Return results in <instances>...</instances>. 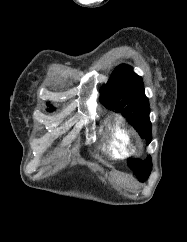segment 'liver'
Instances as JSON below:
<instances>
[{
	"mask_svg": "<svg viewBox=\"0 0 187 242\" xmlns=\"http://www.w3.org/2000/svg\"><path fill=\"white\" fill-rule=\"evenodd\" d=\"M118 180L122 183H127L129 182V179L127 177H122V176H118Z\"/></svg>",
	"mask_w": 187,
	"mask_h": 242,
	"instance_id": "1",
	"label": "liver"
}]
</instances>
